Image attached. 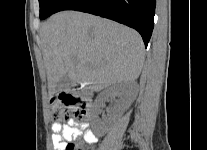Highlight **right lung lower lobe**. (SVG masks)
<instances>
[{
    "mask_svg": "<svg viewBox=\"0 0 207 150\" xmlns=\"http://www.w3.org/2000/svg\"><path fill=\"white\" fill-rule=\"evenodd\" d=\"M155 5L156 0H64L56 12L76 10L115 20L136 29L147 46L153 30Z\"/></svg>",
    "mask_w": 207,
    "mask_h": 150,
    "instance_id": "right-lung-lower-lobe-1",
    "label": "right lung lower lobe"
}]
</instances>
